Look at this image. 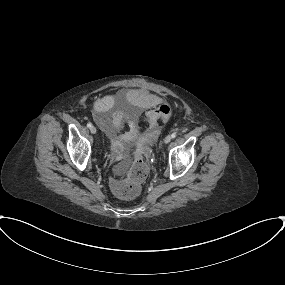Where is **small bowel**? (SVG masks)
Returning <instances> with one entry per match:
<instances>
[{"instance_id": "c3829d8e", "label": "small bowel", "mask_w": 285, "mask_h": 285, "mask_svg": "<svg viewBox=\"0 0 285 285\" xmlns=\"http://www.w3.org/2000/svg\"><path fill=\"white\" fill-rule=\"evenodd\" d=\"M138 104L149 112H154L155 121H169L173 116L171 107L159 96L139 92ZM95 121L110 140L112 155L116 161L126 155V148L135 144L138 139V120L116 107L114 97L106 96L95 106ZM126 132H121L124 126ZM153 127V126H152Z\"/></svg>"}]
</instances>
